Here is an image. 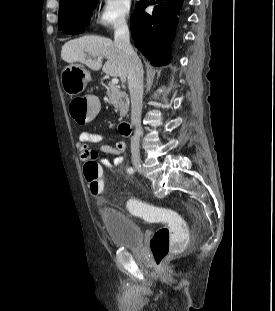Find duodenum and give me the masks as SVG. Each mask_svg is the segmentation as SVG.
Masks as SVG:
<instances>
[{"mask_svg":"<svg viewBox=\"0 0 275 311\" xmlns=\"http://www.w3.org/2000/svg\"><path fill=\"white\" fill-rule=\"evenodd\" d=\"M118 130L121 135L129 136L132 134L133 127L130 123L123 121L119 123Z\"/></svg>","mask_w":275,"mask_h":311,"instance_id":"410a0bca","label":"duodenum"}]
</instances>
